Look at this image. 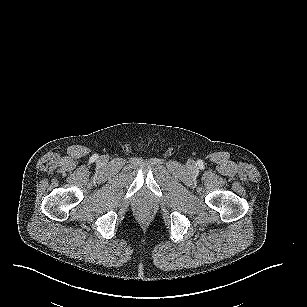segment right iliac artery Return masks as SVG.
Listing matches in <instances>:
<instances>
[{
	"label": "right iliac artery",
	"instance_id": "82829eb1",
	"mask_svg": "<svg viewBox=\"0 0 307 307\" xmlns=\"http://www.w3.org/2000/svg\"><path fill=\"white\" fill-rule=\"evenodd\" d=\"M95 159H96V156H93V157H92V160H95Z\"/></svg>",
	"mask_w": 307,
	"mask_h": 307
}]
</instances>
